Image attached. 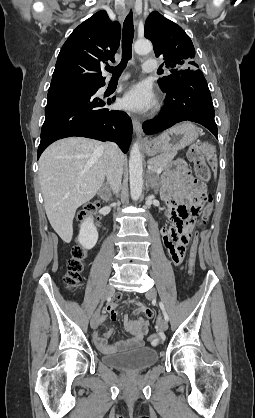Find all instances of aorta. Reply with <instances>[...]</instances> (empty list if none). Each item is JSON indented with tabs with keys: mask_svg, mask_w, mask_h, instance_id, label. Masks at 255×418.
<instances>
[{
	"mask_svg": "<svg viewBox=\"0 0 255 418\" xmlns=\"http://www.w3.org/2000/svg\"><path fill=\"white\" fill-rule=\"evenodd\" d=\"M134 50L138 54H148L152 51V44L148 40H137L134 44ZM129 174H130V194L131 198L136 201L139 199L143 188V166L140 146L138 142H134L129 158Z\"/></svg>",
	"mask_w": 255,
	"mask_h": 418,
	"instance_id": "1",
	"label": "aorta"
}]
</instances>
